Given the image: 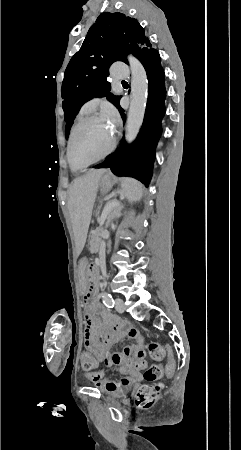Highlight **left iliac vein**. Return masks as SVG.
Masks as SVG:
<instances>
[{
    "mask_svg": "<svg viewBox=\"0 0 241 450\" xmlns=\"http://www.w3.org/2000/svg\"><path fill=\"white\" fill-rule=\"evenodd\" d=\"M115 308L119 313H122L124 311V303L121 298H116L115 300Z\"/></svg>",
    "mask_w": 241,
    "mask_h": 450,
    "instance_id": "4c4485c4",
    "label": "left iliac vein"
}]
</instances>
